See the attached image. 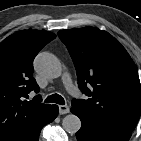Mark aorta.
<instances>
[{
	"label": "aorta",
	"mask_w": 141,
	"mask_h": 141,
	"mask_svg": "<svg viewBox=\"0 0 141 141\" xmlns=\"http://www.w3.org/2000/svg\"><path fill=\"white\" fill-rule=\"evenodd\" d=\"M34 68L37 73L48 78L55 79L61 76L62 66L56 56L49 52H40L34 60ZM62 126L68 133L74 134L81 128V121L78 116L69 114L62 120Z\"/></svg>",
	"instance_id": "aorta-1"
}]
</instances>
